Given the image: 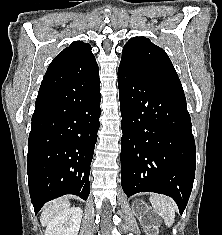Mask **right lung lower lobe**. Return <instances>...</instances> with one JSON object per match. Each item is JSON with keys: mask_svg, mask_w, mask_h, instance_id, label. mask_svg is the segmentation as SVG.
Returning <instances> with one entry per match:
<instances>
[{"mask_svg": "<svg viewBox=\"0 0 222 235\" xmlns=\"http://www.w3.org/2000/svg\"><path fill=\"white\" fill-rule=\"evenodd\" d=\"M100 101L99 72L67 83H41L27 156L35 214L44 203L65 194L88 198Z\"/></svg>", "mask_w": 222, "mask_h": 235, "instance_id": "98d812e1", "label": "right lung lower lobe"}]
</instances>
